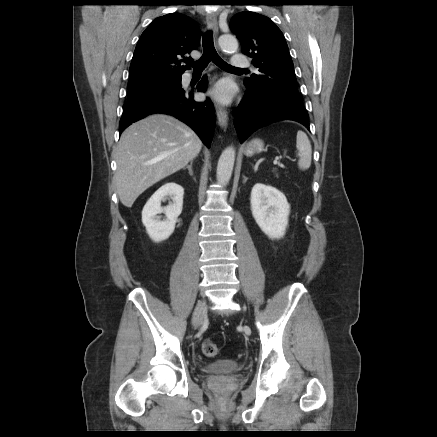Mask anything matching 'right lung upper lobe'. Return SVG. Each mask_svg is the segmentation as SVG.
<instances>
[{"label":"right lung upper lobe","mask_w":437,"mask_h":437,"mask_svg":"<svg viewBox=\"0 0 437 437\" xmlns=\"http://www.w3.org/2000/svg\"><path fill=\"white\" fill-rule=\"evenodd\" d=\"M201 34L197 23L180 13L154 19L137 43L130 79L182 76L189 66H181V62L192 60L186 55L197 48Z\"/></svg>","instance_id":"cb5924a9"}]
</instances>
